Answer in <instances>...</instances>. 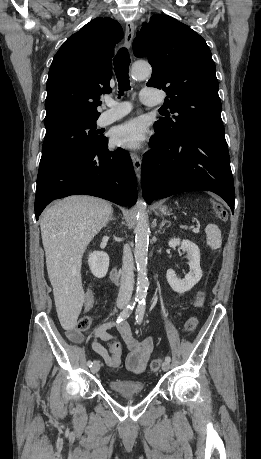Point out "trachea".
<instances>
[{
    "instance_id": "3493384b",
    "label": "trachea",
    "mask_w": 261,
    "mask_h": 459,
    "mask_svg": "<svg viewBox=\"0 0 261 459\" xmlns=\"http://www.w3.org/2000/svg\"><path fill=\"white\" fill-rule=\"evenodd\" d=\"M114 71L119 84V97L131 89L128 75L130 57L126 48H121L114 58Z\"/></svg>"
}]
</instances>
